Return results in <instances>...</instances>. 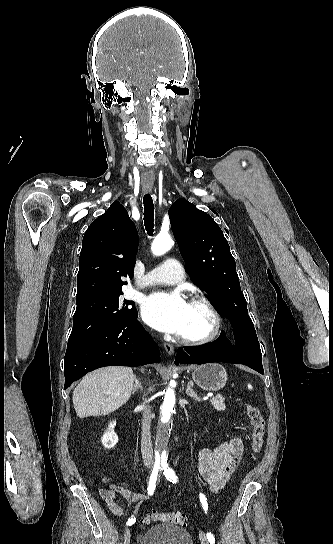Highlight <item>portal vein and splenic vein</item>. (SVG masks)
<instances>
[{
    "instance_id": "obj_1",
    "label": "portal vein and splenic vein",
    "mask_w": 333,
    "mask_h": 544,
    "mask_svg": "<svg viewBox=\"0 0 333 544\" xmlns=\"http://www.w3.org/2000/svg\"><path fill=\"white\" fill-rule=\"evenodd\" d=\"M213 396V393H208L207 394V397H212Z\"/></svg>"
}]
</instances>
